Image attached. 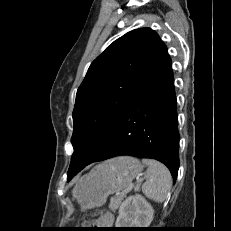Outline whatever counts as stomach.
<instances>
[{
    "mask_svg": "<svg viewBox=\"0 0 231 231\" xmlns=\"http://www.w3.org/2000/svg\"><path fill=\"white\" fill-rule=\"evenodd\" d=\"M142 169L139 160L130 156L110 159L81 177L73 196L83 210L101 206L109 195L125 190Z\"/></svg>",
    "mask_w": 231,
    "mask_h": 231,
    "instance_id": "stomach-1",
    "label": "stomach"
}]
</instances>
